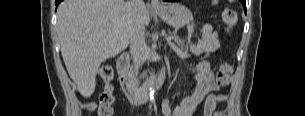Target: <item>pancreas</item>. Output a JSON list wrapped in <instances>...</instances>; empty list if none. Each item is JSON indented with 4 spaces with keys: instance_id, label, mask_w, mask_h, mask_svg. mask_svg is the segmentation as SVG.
Instances as JSON below:
<instances>
[{
    "instance_id": "cf45deb5",
    "label": "pancreas",
    "mask_w": 305,
    "mask_h": 116,
    "mask_svg": "<svg viewBox=\"0 0 305 116\" xmlns=\"http://www.w3.org/2000/svg\"><path fill=\"white\" fill-rule=\"evenodd\" d=\"M171 37H173V41L175 42V44L171 43V47L175 50V52L182 58H188L190 57V54H188V46L184 45L183 41H180L179 37L175 34L172 33ZM191 53L194 55H200L204 52H209L210 50L202 45H196L193 44L190 47ZM132 71V70H131ZM133 72V71H132Z\"/></svg>"
}]
</instances>
